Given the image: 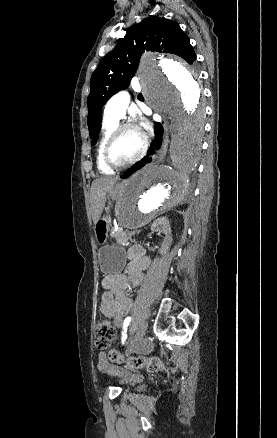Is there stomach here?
Returning a JSON list of instances; mask_svg holds the SVG:
<instances>
[{"instance_id": "0dacf381", "label": "stomach", "mask_w": 277, "mask_h": 438, "mask_svg": "<svg viewBox=\"0 0 277 438\" xmlns=\"http://www.w3.org/2000/svg\"><path fill=\"white\" fill-rule=\"evenodd\" d=\"M120 194V188L115 186L109 190V196L116 199ZM110 230V218L104 215L95 224V234L101 248L98 252L100 268L104 274H115L120 272L126 262L124 250L120 247L110 246L106 243Z\"/></svg>"}]
</instances>
